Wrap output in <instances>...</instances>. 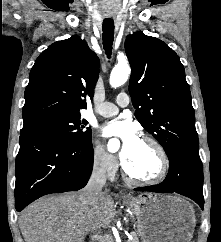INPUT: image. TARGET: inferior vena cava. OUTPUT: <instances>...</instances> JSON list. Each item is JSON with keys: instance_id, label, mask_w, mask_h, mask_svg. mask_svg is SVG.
<instances>
[{"instance_id": "inferior-vena-cava-1", "label": "inferior vena cava", "mask_w": 221, "mask_h": 242, "mask_svg": "<svg viewBox=\"0 0 221 242\" xmlns=\"http://www.w3.org/2000/svg\"><path fill=\"white\" fill-rule=\"evenodd\" d=\"M106 184V164L96 163L93 167L91 177L83 189L82 197L84 202L89 205L98 203L99 198L103 195L102 189Z\"/></svg>"}]
</instances>
